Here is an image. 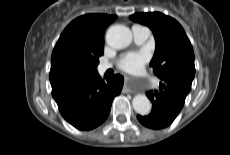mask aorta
Listing matches in <instances>:
<instances>
[{"instance_id": "762f6f07", "label": "aorta", "mask_w": 230, "mask_h": 155, "mask_svg": "<svg viewBox=\"0 0 230 155\" xmlns=\"http://www.w3.org/2000/svg\"><path fill=\"white\" fill-rule=\"evenodd\" d=\"M132 33L123 25L111 26L106 33V42L114 49H123L130 45ZM134 110L140 115H147L151 111L150 100L142 94L136 95L132 100Z\"/></svg>"}]
</instances>
